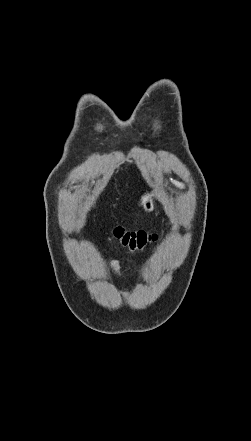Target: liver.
Returning a JSON list of instances; mask_svg holds the SVG:
<instances>
[{
	"instance_id": "obj_1",
	"label": "liver",
	"mask_w": 251,
	"mask_h": 441,
	"mask_svg": "<svg viewBox=\"0 0 251 441\" xmlns=\"http://www.w3.org/2000/svg\"><path fill=\"white\" fill-rule=\"evenodd\" d=\"M147 198H149V194H146V195H144V196L141 198L142 203H143Z\"/></svg>"
}]
</instances>
